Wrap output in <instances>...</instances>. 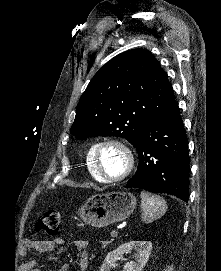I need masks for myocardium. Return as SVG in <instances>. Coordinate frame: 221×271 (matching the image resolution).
Returning <instances> with one entry per match:
<instances>
[{
    "mask_svg": "<svg viewBox=\"0 0 221 271\" xmlns=\"http://www.w3.org/2000/svg\"><path fill=\"white\" fill-rule=\"evenodd\" d=\"M97 140H100V145H92L94 148L93 153L95 156H92L94 159V169L98 172L97 175H104L105 172L103 170V162H101L100 158H102L104 151L103 150H120L119 154L121 156L120 164H123L125 167V171L116 176L105 177L106 183H121V178H127L132 172V166L135 165L133 162L134 158H131V153L134 150H127L126 149V142H119V140H127L120 136H104Z\"/></svg>",
    "mask_w": 221,
    "mask_h": 271,
    "instance_id": "myocardium-1",
    "label": "myocardium"
}]
</instances>
